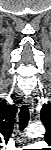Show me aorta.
Wrapping results in <instances>:
<instances>
[{
    "instance_id": "aorta-1",
    "label": "aorta",
    "mask_w": 51,
    "mask_h": 150,
    "mask_svg": "<svg viewBox=\"0 0 51 150\" xmlns=\"http://www.w3.org/2000/svg\"><path fill=\"white\" fill-rule=\"evenodd\" d=\"M45 134V128L41 124H32L26 129V136L29 138L40 137Z\"/></svg>"
}]
</instances>
